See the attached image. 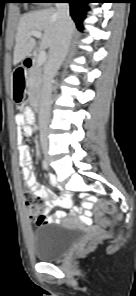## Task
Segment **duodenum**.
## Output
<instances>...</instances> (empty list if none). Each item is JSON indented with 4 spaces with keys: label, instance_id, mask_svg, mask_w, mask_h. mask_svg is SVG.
<instances>
[{
    "label": "duodenum",
    "instance_id": "1",
    "mask_svg": "<svg viewBox=\"0 0 136 296\" xmlns=\"http://www.w3.org/2000/svg\"><path fill=\"white\" fill-rule=\"evenodd\" d=\"M33 65V59L31 57H28L24 60L23 63V67H19L16 69L15 71V79L20 82L23 83L24 81V71H26L27 69L32 68Z\"/></svg>",
    "mask_w": 136,
    "mask_h": 296
}]
</instances>
